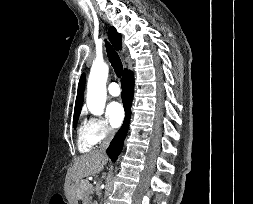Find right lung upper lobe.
<instances>
[{
    "mask_svg": "<svg viewBox=\"0 0 253 204\" xmlns=\"http://www.w3.org/2000/svg\"><path fill=\"white\" fill-rule=\"evenodd\" d=\"M108 37L113 46L117 50H121L122 48V39L121 35L117 33L116 29L114 27H110L108 30ZM125 69L124 71H126ZM84 86H85V75L83 74L80 78L79 84H78V93L77 98L75 102V110H74V116L79 115L82 108V102L84 97Z\"/></svg>",
    "mask_w": 253,
    "mask_h": 204,
    "instance_id": "right-lung-upper-lobe-1",
    "label": "right lung upper lobe"
}]
</instances>
